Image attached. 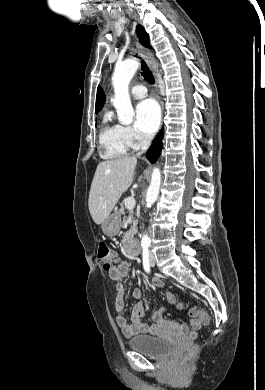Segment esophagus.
<instances>
[{"label":"esophagus","instance_id":"obj_1","mask_svg":"<svg viewBox=\"0 0 265 390\" xmlns=\"http://www.w3.org/2000/svg\"><path fill=\"white\" fill-rule=\"evenodd\" d=\"M136 46H137V49H138L139 53L142 55V57L147 62L148 66L153 70L152 64H153L154 59H153V55H152L151 51L146 49L145 47H143L139 43L138 40L136 41ZM153 73H154L155 77H157L156 76V72L154 70H153Z\"/></svg>","mask_w":265,"mask_h":390}]
</instances>
